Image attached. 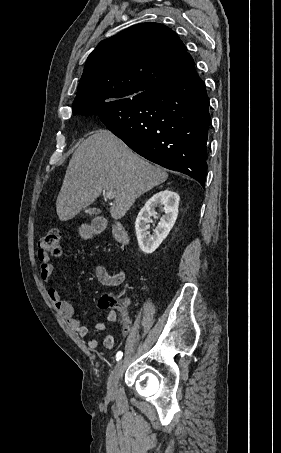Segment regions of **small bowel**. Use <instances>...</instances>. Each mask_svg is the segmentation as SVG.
<instances>
[{
    "label": "small bowel",
    "mask_w": 281,
    "mask_h": 453,
    "mask_svg": "<svg viewBox=\"0 0 281 453\" xmlns=\"http://www.w3.org/2000/svg\"><path fill=\"white\" fill-rule=\"evenodd\" d=\"M94 273L99 283L105 286H120L124 283L126 278V272L124 270L118 272H108L101 265L94 266ZM40 276L43 283L46 286L47 294L51 302L55 305L57 310L63 315L65 320L69 323L70 327L79 334L82 338L88 337V329L84 326L83 321L75 315L73 306L61 298V295L55 286L53 280V267L47 262L43 261L40 265ZM121 310L124 312L128 308L127 302L121 303ZM108 319L113 322L117 319V313L113 310L108 312ZM107 329V322L100 321L96 324V330L103 332ZM103 345L107 349H113L115 346V339L112 334H106L103 339ZM87 346L90 349H97L99 346V340L97 337H88Z\"/></svg>",
    "instance_id": "1"
}]
</instances>
